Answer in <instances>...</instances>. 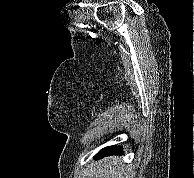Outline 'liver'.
Returning a JSON list of instances; mask_svg holds the SVG:
<instances>
[{
    "instance_id": "liver-1",
    "label": "liver",
    "mask_w": 194,
    "mask_h": 178,
    "mask_svg": "<svg viewBox=\"0 0 194 178\" xmlns=\"http://www.w3.org/2000/svg\"><path fill=\"white\" fill-rule=\"evenodd\" d=\"M129 169L117 157L104 159L96 166L95 178H130Z\"/></svg>"
}]
</instances>
